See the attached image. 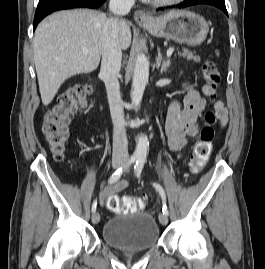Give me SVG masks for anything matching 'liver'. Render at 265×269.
<instances>
[{
	"label": "liver",
	"mask_w": 265,
	"mask_h": 269,
	"mask_svg": "<svg viewBox=\"0 0 265 269\" xmlns=\"http://www.w3.org/2000/svg\"><path fill=\"white\" fill-rule=\"evenodd\" d=\"M106 21V15L99 11L75 9L55 12L38 25L33 52L45 106L52 102L65 80L98 67ZM119 41L122 49L130 47L131 29L125 20H119Z\"/></svg>",
	"instance_id": "liver-1"
}]
</instances>
